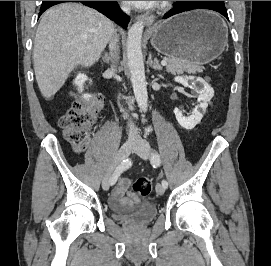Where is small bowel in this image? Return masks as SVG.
Instances as JSON below:
<instances>
[{"label":"small bowel","instance_id":"1","mask_svg":"<svg viewBox=\"0 0 271 266\" xmlns=\"http://www.w3.org/2000/svg\"><path fill=\"white\" fill-rule=\"evenodd\" d=\"M131 179L121 178L110 196V203L114 208H132L141 203L140 198L129 190Z\"/></svg>","mask_w":271,"mask_h":266}]
</instances>
